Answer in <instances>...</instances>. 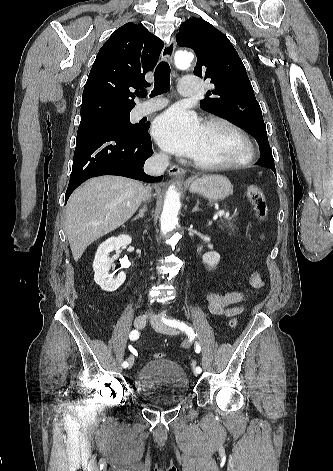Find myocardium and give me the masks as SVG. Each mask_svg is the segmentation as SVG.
Masks as SVG:
<instances>
[{"label": "myocardium", "instance_id": "myocardium-1", "mask_svg": "<svg viewBox=\"0 0 333 471\" xmlns=\"http://www.w3.org/2000/svg\"><path fill=\"white\" fill-rule=\"evenodd\" d=\"M213 125L223 126L233 132L241 143L242 151L238 157L228 161L207 163L193 159V165L201 170H223L243 167L250 163L254 156V146L248 134L240 126L223 117L208 118L202 126Z\"/></svg>", "mask_w": 333, "mask_h": 471}]
</instances>
